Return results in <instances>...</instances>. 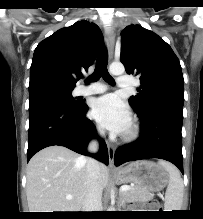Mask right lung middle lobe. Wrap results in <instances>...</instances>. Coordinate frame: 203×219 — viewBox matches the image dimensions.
<instances>
[{"mask_svg": "<svg viewBox=\"0 0 203 219\" xmlns=\"http://www.w3.org/2000/svg\"><path fill=\"white\" fill-rule=\"evenodd\" d=\"M73 86L64 85L53 80H38L29 83V100L35 97H55L69 106L76 107L80 103L72 97Z\"/></svg>", "mask_w": 203, "mask_h": 219, "instance_id": "dd1d6c3e", "label": "right lung middle lobe"}]
</instances>
